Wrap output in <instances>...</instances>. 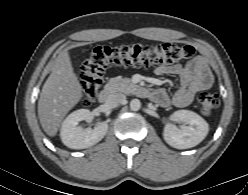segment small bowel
I'll list each match as a JSON object with an SVG mask.
<instances>
[{
  "instance_id": "small-bowel-1",
  "label": "small bowel",
  "mask_w": 248,
  "mask_h": 195,
  "mask_svg": "<svg viewBox=\"0 0 248 195\" xmlns=\"http://www.w3.org/2000/svg\"><path fill=\"white\" fill-rule=\"evenodd\" d=\"M155 73L161 75H176L179 77V88L169 95L164 89L152 91V99L161 106H188L202 91L209 89L213 84V76L200 57L187 64H170L156 68Z\"/></svg>"
}]
</instances>
